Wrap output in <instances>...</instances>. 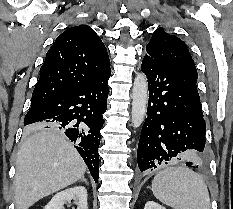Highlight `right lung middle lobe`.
I'll return each instance as SVG.
<instances>
[{"label": "right lung middle lobe", "instance_id": "right-lung-middle-lobe-1", "mask_svg": "<svg viewBox=\"0 0 233 209\" xmlns=\"http://www.w3.org/2000/svg\"><path fill=\"white\" fill-rule=\"evenodd\" d=\"M31 106H34V105H31ZM38 127L55 129L52 125H49V124H40V125H37V126H34V127H28V129L33 130V129L38 128Z\"/></svg>", "mask_w": 233, "mask_h": 209}]
</instances>
